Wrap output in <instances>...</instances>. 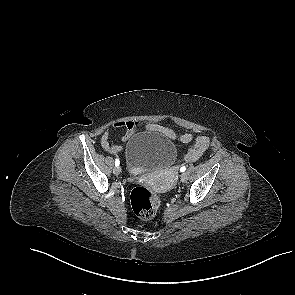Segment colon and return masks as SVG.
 <instances>
[{
  "label": "colon",
  "mask_w": 295,
  "mask_h": 295,
  "mask_svg": "<svg viewBox=\"0 0 295 295\" xmlns=\"http://www.w3.org/2000/svg\"><path fill=\"white\" fill-rule=\"evenodd\" d=\"M131 206L134 213L143 220L151 219L157 212L159 197L145 187H135L130 195Z\"/></svg>",
  "instance_id": "1"
}]
</instances>
